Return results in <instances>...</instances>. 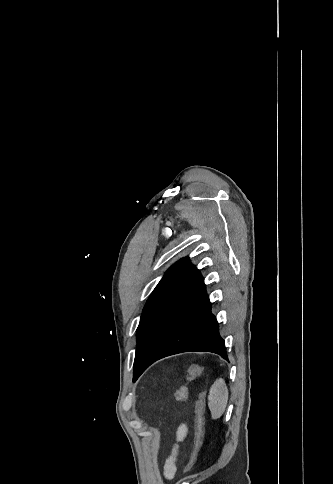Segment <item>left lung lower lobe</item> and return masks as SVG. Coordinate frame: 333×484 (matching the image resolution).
I'll list each match as a JSON object with an SVG mask.
<instances>
[{
    "mask_svg": "<svg viewBox=\"0 0 333 484\" xmlns=\"http://www.w3.org/2000/svg\"><path fill=\"white\" fill-rule=\"evenodd\" d=\"M188 351H209L228 360L204 280L190 263L163 291L140 329L134 362L139 373L133 381L156 360Z\"/></svg>",
    "mask_w": 333,
    "mask_h": 484,
    "instance_id": "obj_1",
    "label": "left lung lower lobe"
}]
</instances>
